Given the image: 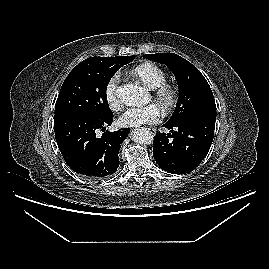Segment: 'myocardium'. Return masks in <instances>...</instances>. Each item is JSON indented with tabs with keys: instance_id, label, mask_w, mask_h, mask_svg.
<instances>
[{
	"instance_id": "myocardium-1",
	"label": "myocardium",
	"mask_w": 269,
	"mask_h": 269,
	"mask_svg": "<svg viewBox=\"0 0 269 269\" xmlns=\"http://www.w3.org/2000/svg\"><path fill=\"white\" fill-rule=\"evenodd\" d=\"M154 100L164 114H170L178 103V91L175 87L164 84L154 89Z\"/></svg>"
}]
</instances>
